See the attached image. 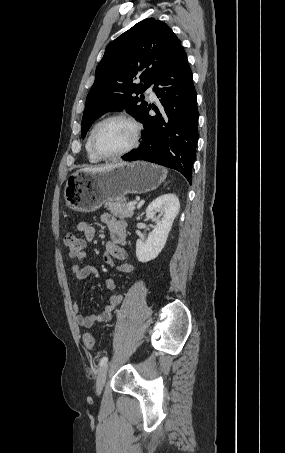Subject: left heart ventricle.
<instances>
[{"mask_svg":"<svg viewBox=\"0 0 285 453\" xmlns=\"http://www.w3.org/2000/svg\"><path fill=\"white\" fill-rule=\"evenodd\" d=\"M132 125L122 119H114L101 126L96 137V146L103 154H115L127 148L133 141Z\"/></svg>","mask_w":285,"mask_h":453,"instance_id":"1","label":"left heart ventricle"}]
</instances>
